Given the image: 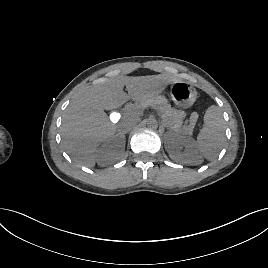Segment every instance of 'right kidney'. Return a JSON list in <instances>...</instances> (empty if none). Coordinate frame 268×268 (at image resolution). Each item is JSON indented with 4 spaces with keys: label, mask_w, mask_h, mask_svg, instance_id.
I'll return each instance as SVG.
<instances>
[{
    "label": "right kidney",
    "mask_w": 268,
    "mask_h": 268,
    "mask_svg": "<svg viewBox=\"0 0 268 268\" xmlns=\"http://www.w3.org/2000/svg\"><path fill=\"white\" fill-rule=\"evenodd\" d=\"M125 150V136L116 134L103 142L96 151V161L99 166L105 167L120 160Z\"/></svg>",
    "instance_id": "right-kidney-1"
}]
</instances>
